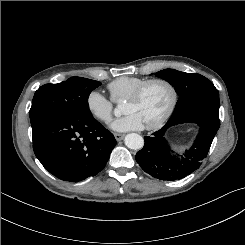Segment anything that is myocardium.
I'll list each match as a JSON object with an SVG mask.
<instances>
[{
  "mask_svg": "<svg viewBox=\"0 0 245 245\" xmlns=\"http://www.w3.org/2000/svg\"><path fill=\"white\" fill-rule=\"evenodd\" d=\"M152 84H162L166 86L170 90V93H171V102H170L168 109L166 110V112L163 114V116L160 119L145 126L147 130H154L164 125L174 113L177 103H178V98H179L178 90L171 81L167 79H163V78H153V79L146 80L144 83H142L136 90H134V92H132L126 98V100L130 102H136L140 100V98L144 94L147 87H149Z\"/></svg>",
  "mask_w": 245,
  "mask_h": 245,
  "instance_id": "myocardium-1",
  "label": "myocardium"
}]
</instances>
